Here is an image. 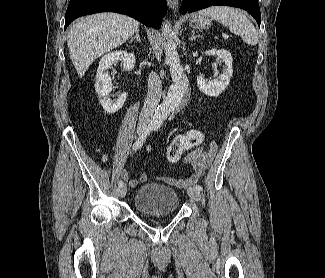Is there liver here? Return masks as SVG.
<instances>
[{
	"label": "liver",
	"mask_w": 325,
	"mask_h": 278,
	"mask_svg": "<svg viewBox=\"0 0 325 278\" xmlns=\"http://www.w3.org/2000/svg\"><path fill=\"white\" fill-rule=\"evenodd\" d=\"M138 27L137 20L118 13L90 15L71 25L67 44L78 76L82 78L95 59L122 45Z\"/></svg>",
	"instance_id": "obj_1"
}]
</instances>
